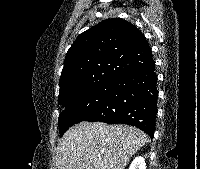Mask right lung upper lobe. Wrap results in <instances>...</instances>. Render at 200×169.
<instances>
[{
	"label": "right lung upper lobe",
	"mask_w": 200,
	"mask_h": 169,
	"mask_svg": "<svg viewBox=\"0 0 200 169\" xmlns=\"http://www.w3.org/2000/svg\"><path fill=\"white\" fill-rule=\"evenodd\" d=\"M154 64L143 34L123 19H107L81 33L69 48L58 100L104 79H116Z\"/></svg>",
	"instance_id": "right-lung-upper-lobe-1"
}]
</instances>
